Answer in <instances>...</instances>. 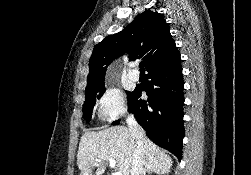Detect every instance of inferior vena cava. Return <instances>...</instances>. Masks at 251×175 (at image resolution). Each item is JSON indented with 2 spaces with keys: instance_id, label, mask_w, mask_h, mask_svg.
Returning a JSON list of instances; mask_svg holds the SVG:
<instances>
[{
  "instance_id": "602c4592",
  "label": "inferior vena cava",
  "mask_w": 251,
  "mask_h": 175,
  "mask_svg": "<svg viewBox=\"0 0 251 175\" xmlns=\"http://www.w3.org/2000/svg\"><path fill=\"white\" fill-rule=\"evenodd\" d=\"M126 123H128L129 131L135 141L136 147L132 157V167L130 175H140L141 171H143L144 169V163L146 161L143 153L145 143L144 129L140 127L139 123H137L132 113H129V115H127Z\"/></svg>"
}]
</instances>
